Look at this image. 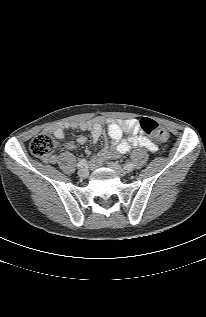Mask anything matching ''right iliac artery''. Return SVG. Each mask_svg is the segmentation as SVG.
<instances>
[{"instance_id":"82829eb1","label":"right iliac artery","mask_w":206,"mask_h":317,"mask_svg":"<svg viewBox=\"0 0 206 317\" xmlns=\"http://www.w3.org/2000/svg\"><path fill=\"white\" fill-rule=\"evenodd\" d=\"M87 165V160L86 159H81L78 164H77V167L78 168H83L84 166Z\"/></svg>"}]
</instances>
